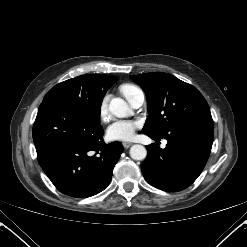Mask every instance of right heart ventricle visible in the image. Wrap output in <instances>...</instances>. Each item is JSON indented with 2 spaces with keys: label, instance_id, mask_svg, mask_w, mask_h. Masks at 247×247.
Here are the masks:
<instances>
[{
  "label": "right heart ventricle",
  "instance_id": "obj_1",
  "mask_svg": "<svg viewBox=\"0 0 247 247\" xmlns=\"http://www.w3.org/2000/svg\"><path fill=\"white\" fill-rule=\"evenodd\" d=\"M139 90L140 89L133 84L126 83L120 86V91L127 100H129L133 96V94Z\"/></svg>",
  "mask_w": 247,
  "mask_h": 247
}]
</instances>
